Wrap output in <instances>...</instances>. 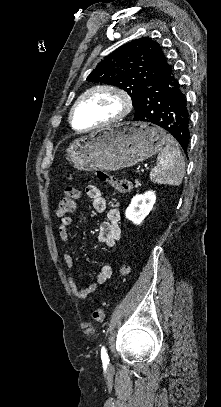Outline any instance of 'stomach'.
I'll use <instances>...</instances> for the list:
<instances>
[{
	"instance_id": "1",
	"label": "stomach",
	"mask_w": 221,
	"mask_h": 407,
	"mask_svg": "<svg viewBox=\"0 0 221 407\" xmlns=\"http://www.w3.org/2000/svg\"><path fill=\"white\" fill-rule=\"evenodd\" d=\"M165 132L144 122H127L74 139L66 158L81 171H116L142 162L163 149Z\"/></svg>"
}]
</instances>
